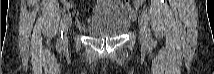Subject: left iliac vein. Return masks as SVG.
Returning <instances> with one entry per match:
<instances>
[{"mask_svg":"<svg viewBox=\"0 0 214 74\" xmlns=\"http://www.w3.org/2000/svg\"><path fill=\"white\" fill-rule=\"evenodd\" d=\"M139 26H140L141 42L142 44L146 45L149 41V29H148L147 23L145 22L142 16L139 19Z\"/></svg>","mask_w":214,"mask_h":74,"instance_id":"left-iliac-vein-1","label":"left iliac vein"}]
</instances>
